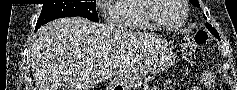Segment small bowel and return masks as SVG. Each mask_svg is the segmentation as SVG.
Returning <instances> with one entry per match:
<instances>
[{
  "mask_svg": "<svg viewBox=\"0 0 237 90\" xmlns=\"http://www.w3.org/2000/svg\"><path fill=\"white\" fill-rule=\"evenodd\" d=\"M202 85H196L189 90H209L214 84V75L210 71H205L201 77ZM151 90H160L158 86H154Z\"/></svg>",
  "mask_w": 237,
  "mask_h": 90,
  "instance_id": "small-bowel-1",
  "label": "small bowel"
}]
</instances>
